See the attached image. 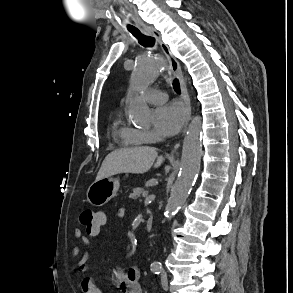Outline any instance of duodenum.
Listing matches in <instances>:
<instances>
[{
  "label": "duodenum",
  "instance_id": "1",
  "mask_svg": "<svg viewBox=\"0 0 293 293\" xmlns=\"http://www.w3.org/2000/svg\"><path fill=\"white\" fill-rule=\"evenodd\" d=\"M153 225H154V219H153V216H149L147 218V221H146V229L147 231H152L153 230Z\"/></svg>",
  "mask_w": 293,
  "mask_h": 293
}]
</instances>
